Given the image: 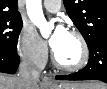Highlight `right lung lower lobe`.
Returning <instances> with one entry per match:
<instances>
[{
  "instance_id": "98d812e1",
  "label": "right lung lower lobe",
  "mask_w": 107,
  "mask_h": 89,
  "mask_svg": "<svg viewBox=\"0 0 107 89\" xmlns=\"http://www.w3.org/2000/svg\"><path fill=\"white\" fill-rule=\"evenodd\" d=\"M20 63L19 56L0 50V72L14 74Z\"/></svg>"
}]
</instances>
